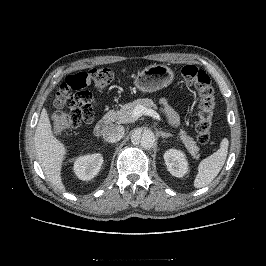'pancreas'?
Returning a JSON list of instances; mask_svg holds the SVG:
<instances>
[{"label":"pancreas","mask_w":266,"mask_h":266,"mask_svg":"<svg viewBox=\"0 0 266 266\" xmlns=\"http://www.w3.org/2000/svg\"><path fill=\"white\" fill-rule=\"evenodd\" d=\"M137 105H143L146 108H157L152 99H137L133 102L123 105L117 111H110L108 114L111 117L112 121H116L121 124H127L135 120V118L133 117V110ZM179 136L191 156L194 159H199V148L193 138L188 136L184 130H181L179 132Z\"/></svg>","instance_id":"obj_1"}]
</instances>
